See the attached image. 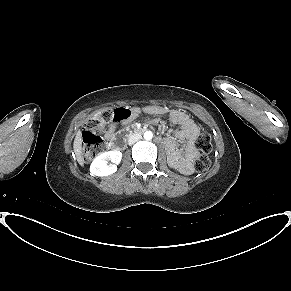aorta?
Instances as JSON below:
<instances>
[{
    "label": "aorta",
    "mask_w": 291,
    "mask_h": 291,
    "mask_svg": "<svg viewBox=\"0 0 291 291\" xmlns=\"http://www.w3.org/2000/svg\"><path fill=\"white\" fill-rule=\"evenodd\" d=\"M152 137H153V133H152L151 131H146V132L144 133V138H145V140H151Z\"/></svg>",
    "instance_id": "1"
}]
</instances>
